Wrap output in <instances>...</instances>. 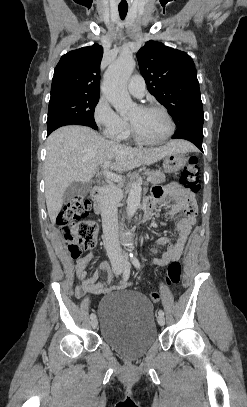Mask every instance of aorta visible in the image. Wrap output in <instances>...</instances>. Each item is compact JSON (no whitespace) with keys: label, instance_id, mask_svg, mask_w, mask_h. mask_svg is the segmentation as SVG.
<instances>
[{"label":"aorta","instance_id":"1","mask_svg":"<svg viewBox=\"0 0 247 407\" xmlns=\"http://www.w3.org/2000/svg\"><path fill=\"white\" fill-rule=\"evenodd\" d=\"M135 61L132 56H120L105 72L102 91L115 110L122 116L130 113L135 104L127 91V81L134 68ZM141 184L133 182L127 198V216L132 217L141 201Z\"/></svg>","mask_w":247,"mask_h":407}]
</instances>
